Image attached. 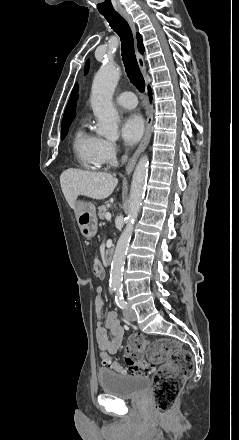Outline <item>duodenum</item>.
Returning a JSON list of instances; mask_svg holds the SVG:
<instances>
[{
	"label": "duodenum",
	"instance_id": "duodenum-1",
	"mask_svg": "<svg viewBox=\"0 0 239 440\" xmlns=\"http://www.w3.org/2000/svg\"><path fill=\"white\" fill-rule=\"evenodd\" d=\"M113 256H114V249L113 248L107 249L105 252V259L108 264L112 262Z\"/></svg>",
	"mask_w": 239,
	"mask_h": 440
}]
</instances>
